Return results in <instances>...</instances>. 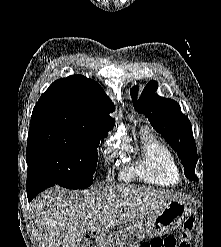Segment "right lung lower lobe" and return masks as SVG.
I'll use <instances>...</instances> for the list:
<instances>
[{
	"instance_id": "1",
	"label": "right lung lower lobe",
	"mask_w": 221,
	"mask_h": 247,
	"mask_svg": "<svg viewBox=\"0 0 221 247\" xmlns=\"http://www.w3.org/2000/svg\"><path fill=\"white\" fill-rule=\"evenodd\" d=\"M55 183L40 175L37 172L28 171L27 177V195L28 200L31 201L41 191L54 186Z\"/></svg>"
}]
</instances>
